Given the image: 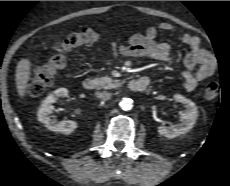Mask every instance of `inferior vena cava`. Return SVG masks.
Wrapping results in <instances>:
<instances>
[{
    "label": "inferior vena cava",
    "instance_id": "602c4592",
    "mask_svg": "<svg viewBox=\"0 0 230 186\" xmlns=\"http://www.w3.org/2000/svg\"><path fill=\"white\" fill-rule=\"evenodd\" d=\"M112 94L107 92V91H103V92H96V97L101 99V100H109L111 98Z\"/></svg>",
    "mask_w": 230,
    "mask_h": 186
}]
</instances>
